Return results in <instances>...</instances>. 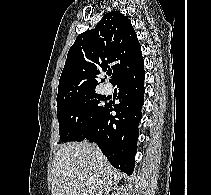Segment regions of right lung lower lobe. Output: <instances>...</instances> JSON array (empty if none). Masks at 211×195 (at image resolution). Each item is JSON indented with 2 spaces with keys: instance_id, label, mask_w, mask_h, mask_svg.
Wrapping results in <instances>:
<instances>
[{
  "instance_id": "obj_1",
  "label": "right lung lower lobe",
  "mask_w": 211,
  "mask_h": 195,
  "mask_svg": "<svg viewBox=\"0 0 211 195\" xmlns=\"http://www.w3.org/2000/svg\"><path fill=\"white\" fill-rule=\"evenodd\" d=\"M144 78V64L121 75L114 82L119 88L120 102L115 105L108 102L82 139L96 142L110 163L128 175L132 174L135 165ZM112 111L116 115H112Z\"/></svg>"
}]
</instances>
